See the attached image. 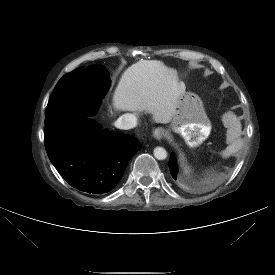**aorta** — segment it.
Returning a JSON list of instances; mask_svg holds the SVG:
<instances>
[{"label":"aorta","instance_id":"obj_1","mask_svg":"<svg viewBox=\"0 0 275 275\" xmlns=\"http://www.w3.org/2000/svg\"><path fill=\"white\" fill-rule=\"evenodd\" d=\"M153 153L158 160H164L167 157V152L163 147H156Z\"/></svg>","mask_w":275,"mask_h":275}]
</instances>
